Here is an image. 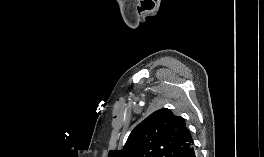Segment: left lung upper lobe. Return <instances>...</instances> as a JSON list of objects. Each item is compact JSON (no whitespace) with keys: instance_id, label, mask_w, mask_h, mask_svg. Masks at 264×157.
Masks as SVG:
<instances>
[{"instance_id":"5c2ea615","label":"left lung upper lobe","mask_w":264,"mask_h":157,"mask_svg":"<svg viewBox=\"0 0 264 157\" xmlns=\"http://www.w3.org/2000/svg\"><path fill=\"white\" fill-rule=\"evenodd\" d=\"M192 147L185 120L163 108L139 123L123 149L111 150L109 157H188Z\"/></svg>"}]
</instances>
